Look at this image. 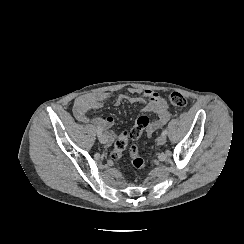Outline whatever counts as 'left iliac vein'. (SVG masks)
I'll list each match as a JSON object with an SVG mask.
<instances>
[{
  "mask_svg": "<svg viewBox=\"0 0 244 244\" xmlns=\"http://www.w3.org/2000/svg\"><path fill=\"white\" fill-rule=\"evenodd\" d=\"M166 140H167V138H166L165 135H160V136L157 138V143H158L159 145H163V144H165Z\"/></svg>",
  "mask_w": 244,
  "mask_h": 244,
  "instance_id": "1",
  "label": "left iliac vein"
}]
</instances>
